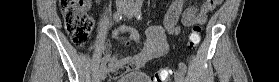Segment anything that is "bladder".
Returning a JSON list of instances; mask_svg holds the SVG:
<instances>
[{
	"mask_svg": "<svg viewBox=\"0 0 279 82\" xmlns=\"http://www.w3.org/2000/svg\"><path fill=\"white\" fill-rule=\"evenodd\" d=\"M115 82H153V81L145 73L130 72L117 78Z\"/></svg>",
	"mask_w": 279,
	"mask_h": 82,
	"instance_id": "31cf9c89",
	"label": "bladder"
}]
</instances>
